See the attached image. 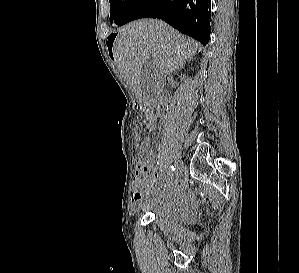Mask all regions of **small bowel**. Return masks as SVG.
Masks as SVG:
<instances>
[{"label":"small bowel","mask_w":299,"mask_h":273,"mask_svg":"<svg viewBox=\"0 0 299 273\" xmlns=\"http://www.w3.org/2000/svg\"><path fill=\"white\" fill-rule=\"evenodd\" d=\"M146 127L149 131H155L157 128L156 116L152 110H147ZM145 159H151L153 155L152 149L142 150ZM159 163H148L140 161L138 170L134 177V190L132 193V201L139 202L145 194L158 195L156 203L161 206L176 207L185 203L183 192L175 187L171 190H166V185L158 182L159 177Z\"/></svg>","instance_id":"obj_1"}]
</instances>
